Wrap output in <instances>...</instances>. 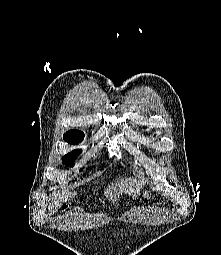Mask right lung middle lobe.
Wrapping results in <instances>:
<instances>
[{
	"label": "right lung middle lobe",
	"instance_id": "obj_1",
	"mask_svg": "<svg viewBox=\"0 0 221 255\" xmlns=\"http://www.w3.org/2000/svg\"><path fill=\"white\" fill-rule=\"evenodd\" d=\"M63 137L64 140L67 141L69 144H77L83 140L84 134L78 131H68L64 134ZM80 153L81 150H74L70 152L62 158L63 163L71 167L73 165L74 159Z\"/></svg>",
	"mask_w": 221,
	"mask_h": 255
}]
</instances>
